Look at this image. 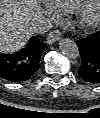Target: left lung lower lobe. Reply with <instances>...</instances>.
Returning a JSON list of instances; mask_svg holds the SVG:
<instances>
[{"label":"left lung lower lobe","mask_w":100,"mask_h":118,"mask_svg":"<svg viewBox=\"0 0 100 118\" xmlns=\"http://www.w3.org/2000/svg\"><path fill=\"white\" fill-rule=\"evenodd\" d=\"M76 43L82 58L78 74L87 83L100 84V34H90Z\"/></svg>","instance_id":"1"}]
</instances>
